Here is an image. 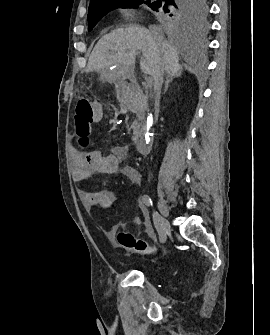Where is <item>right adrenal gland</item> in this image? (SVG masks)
<instances>
[{"instance_id":"1","label":"right adrenal gland","mask_w":270,"mask_h":335,"mask_svg":"<svg viewBox=\"0 0 270 335\" xmlns=\"http://www.w3.org/2000/svg\"><path fill=\"white\" fill-rule=\"evenodd\" d=\"M170 82H173V78L172 76H166V82H165V88H164V94L165 92H167L168 88H169V84Z\"/></svg>"}]
</instances>
